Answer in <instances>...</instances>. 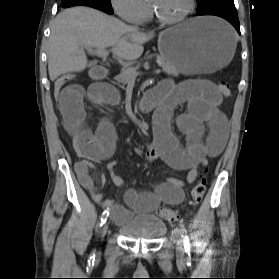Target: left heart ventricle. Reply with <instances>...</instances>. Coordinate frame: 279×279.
I'll list each match as a JSON object with an SVG mask.
<instances>
[{
	"instance_id": "obj_1",
	"label": "left heart ventricle",
	"mask_w": 279,
	"mask_h": 279,
	"mask_svg": "<svg viewBox=\"0 0 279 279\" xmlns=\"http://www.w3.org/2000/svg\"><path fill=\"white\" fill-rule=\"evenodd\" d=\"M149 3L165 18L178 17L189 6V0H149Z\"/></svg>"
}]
</instances>
